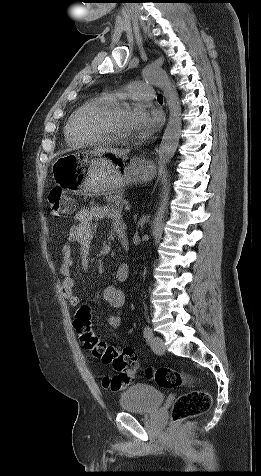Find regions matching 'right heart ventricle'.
I'll list each match as a JSON object with an SVG mask.
<instances>
[{"label":"right heart ventricle","instance_id":"obj_1","mask_svg":"<svg viewBox=\"0 0 261 476\" xmlns=\"http://www.w3.org/2000/svg\"><path fill=\"white\" fill-rule=\"evenodd\" d=\"M113 101L109 94L94 96L79 105L68 117L64 133L67 143L72 147H84L101 143L102 140L88 134L82 127V117L92 106Z\"/></svg>","mask_w":261,"mask_h":476}]
</instances>
